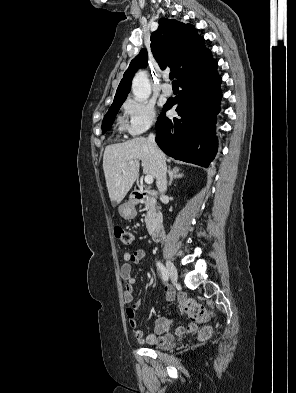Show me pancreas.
Listing matches in <instances>:
<instances>
[{
  "label": "pancreas",
  "mask_w": 296,
  "mask_h": 393,
  "mask_svg": "<svg viewBox=\"0 0 296 393\" xmlns=\"http://www.w3.org/2000/svg\"><path fill=\"white\" fill-rule=\"evenodd\" d=\"M145 205V211H146V216H145V222H146V227L148 231H152L154 223L156 221V217L159 215V212L157 211V207L155 202L150 199L146 198L143 201Z\"/></svg>",
  "instance_id": "pancreas-1"
}]
</instances>
